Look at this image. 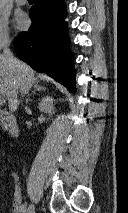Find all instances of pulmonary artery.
Wrapping results in <instances>:
<instances>
[{
	"label": "pulmonary artery",
	"mask_w": 128,
	"mask_h": 213,
	"mask_svg": "<svg viewBox=\"0 0 128 213\" xmlns=\"http://www.w3.org/2000/svg\"><path fill=\"white\" fill-rule=\"evenodd\" d=\"M15 2L20 5V6H23L27 3V0H15Z\"/></svg>",
	"instance_id": "obj_1"
}]
</instances>
